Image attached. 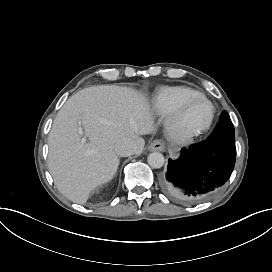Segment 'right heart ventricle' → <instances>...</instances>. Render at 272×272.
<instances>
[{"mask_svg":"<svg viewBox=\"0 0 272 272\" xmlns=\"http://www.w3.org/2000/svg\"><path fill=\"white\" fill-rule=\"evenodd\" d=\"M197 94L199 91L190 87H164L157 92L154 102L160 112H171L177 108L181 101Z\"/></svg>","mask_w":272,"mask_h":272,"instance_id":"1","label":"right heart ventricle"}]
</instances>
